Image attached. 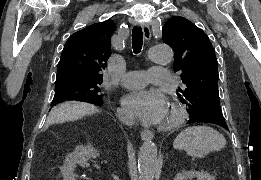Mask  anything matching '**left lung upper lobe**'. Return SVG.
<instances>
[{"label":"left lung upper lobe","instance_id":"5c2ea615","mask_svg":"<svg viewBox=\"0 0 261 180\" xmlns=\"http://www.w3.org/2000/svg\"><path fill=\"white\" fill-rule=\"evenodd\" d=\"M163 41L175 52L173 69L180 71L184 87L177 96L191 117L223 118L218 91L217 59L207 35L189 20L174 16L162 29Z\"/></svg>","mask_w":261,"mask_h":180}]
</instances>
